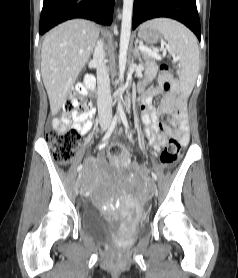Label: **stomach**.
Returning a JSON list of instances; mask_svg holds the SVG:
<instances>
[{
    "instance_id": "stomach-1",
    "label": "stomach",
    "mask_w": 238,
    "mask_h": 278,
    "mask_svg": "<svg viewBox=\"0 0 238 278\" xmlns=\"http://www.w3.org/2000/svg\"><path fill=\"white\" fill-rule=\"evenodd\" d=\"M138 37L148 44H154L160 39L161 33L157 29L143 24L139 28Z\"/></svg>"
}]
</instances>
